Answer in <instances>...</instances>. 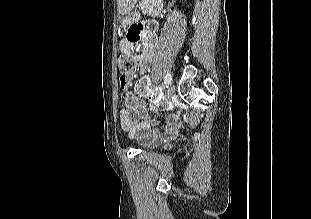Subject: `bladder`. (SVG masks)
I'll use <instances>...</instances> for the list:
<instances>
[{
    "label": "bladder",
    "mask_w": 311,
    "mask_h": 219,
    "mask_svg": "<svg viewBox=\"0 0 311 219\" xmlns=\"http://www.w3.org/2000/svg\"><path fill=\"white\" fill-rule=\"evenodd\" d=\"M154 146H156V143H150V144L145 145L144 147L145 148H152Z\"/></svg>",
    "instance_id": "1"
}]
</instances>
